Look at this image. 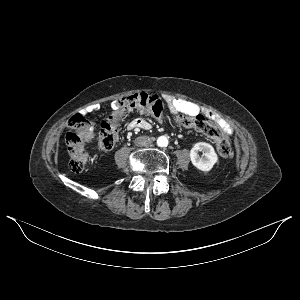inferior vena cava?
Instances as JSON below:
<instances>
[{
	"mask_svg": "<svg viewBox=\"0 0 300 300\" xmlns=\"http://www.w3.org/2000/svg\"><path fill=\"white\" fill-rule=\"evenodd\" d=\"M134 143L138 147H149L152 141L149 137L140 136L135 139Z\"/></svg>",
	"mask_w": 300,
	"mask_h": 300,
	"instance_id": "obj_1",
	"label": "inferior vena cava"
}]
</instances>
